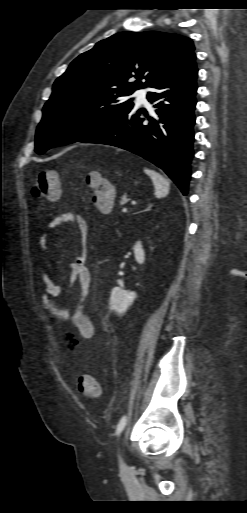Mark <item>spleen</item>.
<instances>
[{
	"mask_svg": "<svg viewBox=\"0 0 247 513\" xmlns=\"http://www.w3.org/2000/svg\"><path fill=\"white\" fill-rule=\"evenodd\" d=\"M146 174H148L154 184L155 188V196L156 198H164L169 194L170 190V182L164 178L161 174L153 171L145 169Z\"/></svg>",
	"mask_w": 247,
	"mask_h": 513,
	"instance_id": "spleen-1",
	"label": "spleen"
}]
</instances>
